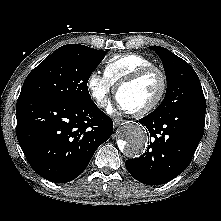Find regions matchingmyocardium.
<instances>
[{
    "label": "myocardium",
    "mask_w": 221,
    "mask_h": 221,
    "mask_svg": "<svg viewBox=\"0 0 221 221\" xmlns=\"http://www.w3.org/2000/svg\"><path fill=\"white\" fill-rule=\"evenodd\" d=\"M152 72L158 73L160 76V79H161V89H160L158 95L151 103H149L148 105L143 106L141 108H138V109L123 108V110L125 112H127L128 114H131L134 116H143V115H146V114L152 112L161 104V102L163 101V99L166 95L167 88H168V79H167L166 73L158 66H155V65L147 66V67H143L141 69L136 70L135 72H133L129 76H127L124 79H122L121 81H119L118 84L116 85L115 97L117 99L118 93L120 92L121 89L139 81L140 79L144 78L145 76H147L148 74H150Z\"/></svg>",
    "instance_id": "myocardium-1"
}]
</instances>
